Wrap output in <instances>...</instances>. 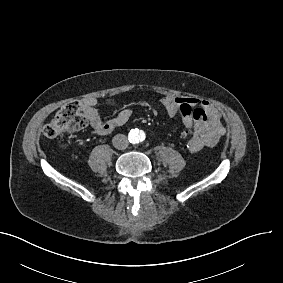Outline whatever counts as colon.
Instances as JSON below:
<instances>
[{
  "label": "colon",
  "mask_w": 283,
  "mask_h": 283,
  "mask_svg": "<svg viewBox=\"0 0 283 283\" xmlns=\"http://www.w3.org/2000/svg\"><path fill=\"white\" fill-rule=\"evenodd\" d=\"M181 111L185 114L183 122L185 123L186 131L193 132L196 128V123L190 116L192 114V106L188 103L180 105ZM86 110L79 102H73L71 105H66L59 109L49 124H47L42 132L45 140H53L62 138L78 131L84 130L88 124V118L85 116Z\"/></svg>",
  "instance_id": "obj_1"
}]
</instances>
